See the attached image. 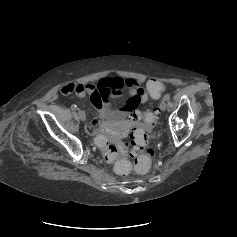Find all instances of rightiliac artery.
I'll return each mask as SVG.
<instances>
[{"mask_svg":"<svg viewBox=\"0 0 237 237\" xmlns=\"http://www.w3.org/2000/svg\"><path fill=\"white\" fill-rule=\"evenodd\" d=\"M77 109H78V108H77V106H76L75 104L71 105V110L75 111V110H77Z\"/></svg>","mask_w":237,"mask_h":237,"instance_id":"obj_1","label":"right iliac artery"}]
</instances>
